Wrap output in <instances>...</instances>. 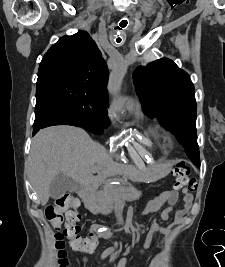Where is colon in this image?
Here are the masks:
<instances>
[{
    "label": "colon",
    "instance_id": "colon-1",
    "mask_svg": "<svg viewBox=\"0 0 225 267\" xmlns=\"http://www.w3.org/2000/svg\"><path fill=\"white\" fill-rule=\"evenodd\" d=\"M172 173L176 189L196 190L197 181L189 177L190 168L184 161L176 160L173 164ZM78 206L77 198L64 195L57 200L56 204L49 205L45 209L47 219L56 229L55 245L58 251L56 267L69 266L65 251V239L69 241L74 250L91 252L94 249L90 237L83 238L80 236L81 228L78 223L81 220V215L77 211ZM63 223L64 227H62Z\"/></svg>",
    "mask_w": 225,
    "mask_h": 267
}]
</instances>
